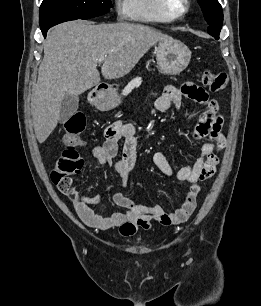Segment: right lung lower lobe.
I'll list each match as a JSON object with an SVG mask.
<instances>
[{"label": "right lung lower lobe", "mask_w": 261, "mask_h": 306, "mask_svg": "<svg viewBox=\"0 0 261 306\" xmlns=\"http://www.w3.org/2000/svg\"><path fill=\"white\" fill-rule=\"evenodd\" d=\"M39 23L41 27V31L46 37L47 31L49 28L53 27L54 25H57L62 22L70 21V20H76V19H81V18H76L73 16H66V15H40L39 17ZM86 20V19H83Z\"/></svg>", "instance_id": "1"}]
</instances>
